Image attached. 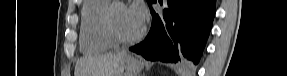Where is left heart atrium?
I'll use <instances>...</instances> for the list:
<instances>
[{"mask_svg":"<svg viewBox=\"0 0 287 76\" xmlns=\"http://www.w3.org/2000/svg\"><path fill=\"white\" fill-rule=\"evenodd\" d=\"M130 12L141 25L144 24L147 18V11L141 2H134L133 5L130 7Z\"/></svg>","mask_w":287,"mask_h":76,"instance_id":"obj_1","label":"left heart atrium"}]
</instances>
